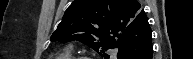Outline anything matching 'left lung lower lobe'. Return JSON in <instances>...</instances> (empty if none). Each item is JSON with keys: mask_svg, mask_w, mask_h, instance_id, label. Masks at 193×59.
I'll use <instances>...</instances> for the list:
<instances>
[{"mask_svg": "<svg viewBox=\"0 0 193 59\" xmlns=\"http://www.w3.org/2000/svg\"><path fill=\"white\" fill-rule=\"evenodd\" d=\"M152 34L147 16L142 14L133 21L118 39V59H152Z\"/></svg>", "mask_w": 193, "mask_h": 59, "instance_id": "left-lung-lower-lobe-1", "label": "left lung lower lobe"}]
</instances>
